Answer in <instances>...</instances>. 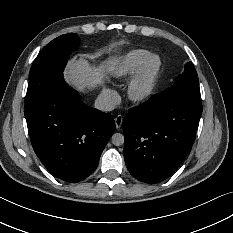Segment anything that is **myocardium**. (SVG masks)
<instances>
[{"label":"myocardium","instance_id":"myocardium-1","mask_svg":"<svg viewBox=\"0 0 233 233\" xmlns=\"http://www.w3.org/2000/svg\"><path fill=\"white\" fill-rule=\"evenodd\" d=\"M155 59L159 60V67L145 86L146 77ZM165 72V63L158 54H152L143 67L130 79L127 86V95L136 104H145L158 92Z\"/></svg>","mask_w":233,"mask_h":233}]
</instances>
